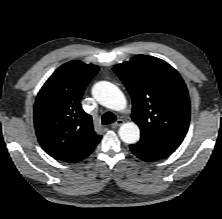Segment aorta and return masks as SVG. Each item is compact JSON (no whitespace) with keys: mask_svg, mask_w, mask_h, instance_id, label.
I'll list each match as a JSON object with an SVG mask.
<instances>
[{"mask_svg":"<svg viewBox=\"0 0 222 219\" xmlns=\"http://www.w3.org/2000/svg\"><path fill=\"white\" fill-rule=\"evenodd\" d=\"M93 97L103 106L121 111L126 108L127 101L122 91L108 81L97 82L92 88ZM121 140L127 144H134L140 138L139 127L132 122L123 124L119 129Z\"/></svg>","mask_w":222,"mask_h":219,"instance_id":"aorta-1","label":"aorta"}]
</instances>
